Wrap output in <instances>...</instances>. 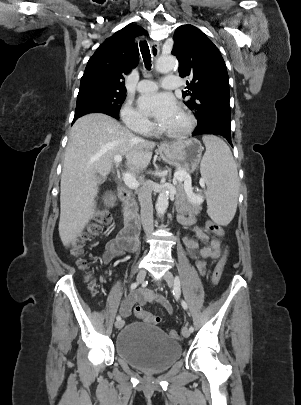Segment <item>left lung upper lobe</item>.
I'll use <instances>...</instances> for the list:
<instances>
[{
    "instance_id": "left-lung-upper-lobe-1",
    "label": "left lung upper lobe",
    "mask_w": 301,
    "mask_h": 405,
    "mask_svg": "<svg viewBox=\"0 0 301 405\" xmlns=\"http://www.w3.org/2000/svg\"><path fill=\"white\" fill-rule=\"evenodd\" d=\"M172 54L179 60L180 77L189 78L185 103L198 125L220 121L231 125L230 94L225 62L212 41L198 28L183 25L176 29Z\"/></svg>"
}]
</instances>
